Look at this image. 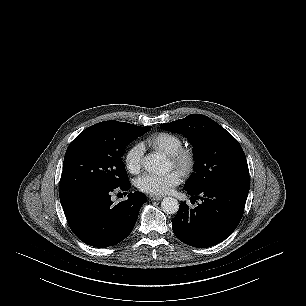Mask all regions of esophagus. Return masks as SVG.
Masks as SVG:
<instances>
[{
    "instance_id": "1",
    "label": "esophagus",
    "mask_w": 306,
    "mask_h": 306,
    "mask_svg": "<svg viewBox=\"0 0 306 306\" xmlns=\"http://www.w3.org/2000/svg\"><path fill=\"white\" fill-rule=\"evenodd\" d=\"M149 199L152 200V201H159V200L162 199V197L161 196H156V195H150Z\"/></svg>"
}]
</instances>
